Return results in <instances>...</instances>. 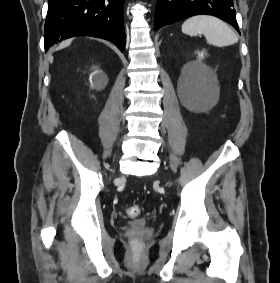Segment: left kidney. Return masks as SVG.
Segmentation results:
<instances>
[{"label":"left kidney","instance_id":"1","mask_svg":"<svg viewBox=\"0 0 280 283\" xmlns=\"http://www.w3.org/2000/svg\"><path fill=\"white\" fill-rule=\"evenodd\" d=\"M199 60L204 58V52H198Z\"/></svg>","mask_w":280,"mask_h":283}]
</instances>
